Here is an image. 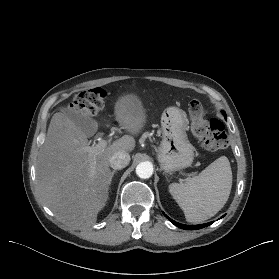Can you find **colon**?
Masks as SVG:
<instances>
[{"label":"colon","instance_id":"obj_1","mask_svg":"<svg viewBox=\"0 0 279 279\" xmlns=\"http://www.w3.org/2000/svg\"><path fill=\"white\" fill-rule=\"evenodd\" d=\"M105 99L106 92L103 88H92L78 93L71 107L83 115H94L104 107ZM188 111L191 131L206 149L218 150L227 147L228 137L221 121L208 119L206 110L197 100L189 102Z\"/></svg>","mask_w":279,"mask_h":279}]
</instances>
